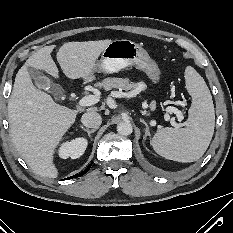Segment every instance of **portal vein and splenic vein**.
<instances>
[{"label": "portal vein and splenic vein", "instance_id": "portal-vein-and-splenic-vein-1", "mask_svg": "<svg viewBox=\"0 0 233 233\" xmlns=\"http://www.w3.org/2000/svg\"><path fill=\"white\" fill-rule=\"evenodd\" d=\"M99 101H100V97L99 96H96V95H87V96L81 98L79 100L78 104L81 107H86V106L94 105V104L98 103ZM166 112L176 114V117H177L178 121H180V122L184 118L182 112L179 109H177V108H175L173 106H168L166 108ZM165 118H166V120L170 119L169 116H167V115L165 116ZM172 125L174 127H181L182 126V124H177L175 122H172Z\"/></svg>", "mask_w": 233, "mask_h": 233}]
</instances>
